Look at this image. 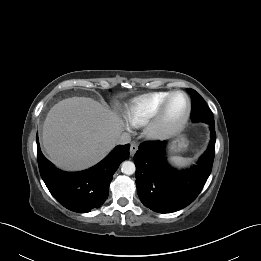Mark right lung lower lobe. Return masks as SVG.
Wrapping results in <instances>:
<instances>
[{
  "label": "right lung lower lobe",
  "instance_id": "obj_1",
  "mask_svg": "<svg viewBox=\"0 0 261 261\" xmlns=\"http://www.w3.org/2000/svg\"><path fill=\"white\" fill-rule=\"evenodd\" d=\"M130 144L117 146L94 167L77 173L63 172L42 154L37 137V157L41 177L53 197L65 208L79 213L100 207L108 197L113 174L129 157Z\"/></svg>",
  "mask_w": 261,
  "mask_h": 261
}]
</instances>
